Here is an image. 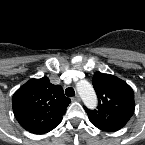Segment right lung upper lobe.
Here are the masks:
<instances>
[{"label": "right lung upper lobe", "instance_id": "right-lung-upper-lobe-1", "mask_svg": "<svg viewBox=\"0 0 145 145\" xmlns=\"http://www.w3.org/2000/svg\"><path fill=\"white\" fill-rule=\"evenodd\" d=\"M70 102L62 87L51 84L48 77L30 79L12 97L15 118L33 134H44L58 126Z\"/></svg>", "mask_w": 145, "mask_h": 145}]
</instances>
